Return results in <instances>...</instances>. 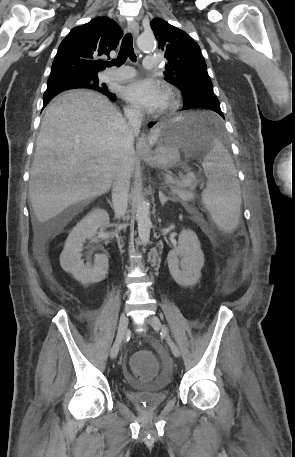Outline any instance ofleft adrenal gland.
Listing matches in <instances>:
<instances>
[{
  "label": "left adrenal gland",
  "mask_w": 295,
  "mask_h": 457,
  "mask_svg": "<svg viewBox=\"0 0 295 457\" xmlns=\"http://www.w3.org/2000/svg\"><path fill=\"white\" fill-rule=\"evenodd\" d=\"M159 199L162 205H164L167 201L172 200L170 197H166L162 191H159Z\"/></svg>",
  "instance_id": "a2214340"
}]
</instances>
